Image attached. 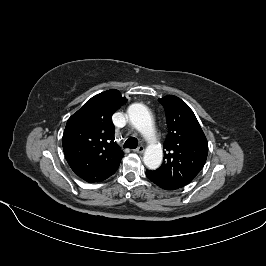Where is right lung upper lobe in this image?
Returning <instances> with one entry per match:
<instances>
[{
    "label": "right lung upper lobe",
    "instance_id": "1",
    "mask_svg": "<svg viewBox=\"0 0 266 266\" xmlns=\"http://www.w3.org/2000/svg\"><path fill=\"white\" fill-rule=\"evenodd\" d=\"M126 102L118 90H108L89 99L68 119L63 150L71 169L83 180L101 182L117 171L123 152L114 141L111 117Z\"/></svg>",
    "mask_w": 266,
    "mask_h": 266
}]
</instances>
